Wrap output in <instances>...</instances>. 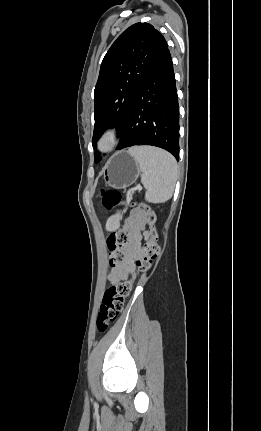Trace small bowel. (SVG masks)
Returning <instances> with one entry per match:
<instances>
[{
    "label": "small bowel",
    "instance_id": "small-bowel-1",
    "mask_svg": "<svg viewBox=\"0 0 261 431\" xmlns=\"http://www.w3.org/2000/svg\"><path fill=\"white\" fill-rule=\"evenodd\" d=\"M130 241L125 248V261L118 266L111 268L109 281L115 283L119 280L134 278L136 276L135 263L140 256L139 245L145 238V216L142 211L132 212L127 224Z\"/></svg>",
    "mask_w": 261,
    "mask_h": 431
}]
</instances>
